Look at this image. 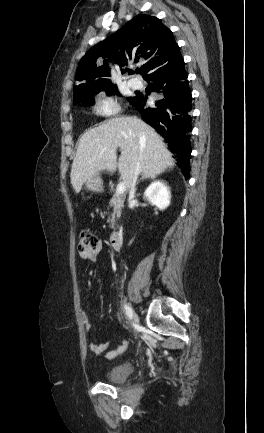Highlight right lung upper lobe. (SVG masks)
<instances>
[{
    "mask_svg": "<svg viewBox=\"0 0 264 433\" xmlns=\"http://www.w3.org/2000/svg\"><path fill=\"white\" fill-rule=\"evenodd\" d=\"M178 54L179 47L170 29L156 17L138 15L82 57L76 72L80 83L74 87V101L116 87L108 79L107 57L121 68L143 61L139 73L144 77ZM100 58L104 59L103 64L96 63Z\"/></svg>",
    "mask_w": 264,
    "mask_h": 433,
    "instance_id": "1",
    "label": "right lung upper lobe"
}]
</instances>
